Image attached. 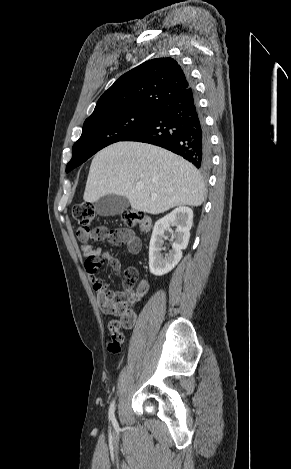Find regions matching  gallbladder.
I'll list each match as a JSON object with an SVG mask.
<instances>
[{
  "label": "gallbladder",
  "mask_w": 291,
  "mask_h": 469,
  "mask_svg": "<svg viewBox=\"0 0 291 469\" xmlns=\"http://www.w3.org/2000/svg\"><path fill=\"white\" fill-rule=\"evenodd\" d=\"M129 207L126 197L117 194H107L97 200L94 211L102 217L114 216L123 213Z\"/></svg>",
  "instance_id": "gallbladder-1"
}]
</instances>
